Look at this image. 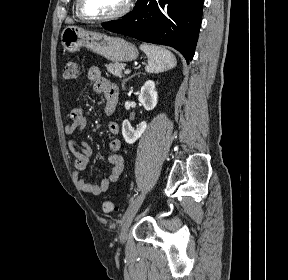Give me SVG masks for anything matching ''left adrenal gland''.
<instances>
[{"mask_svg": "<svg viewBox=\"0 0 288 280\" xmlns=\"http://www.w3.org/2000/svg\"><path fill=\"white\" fill-rule=\"evenodd\" d=\"M140 73H135L134 75L128 77L127 79H124L122 82V88L125 89V82H127L128 80L132 79L133 77H135L136 75H139Z\"/></svg>", "mask_w": 288, "mask_h": 280, "instance_id": "1", "label": "left adrenal gland"}]
</instances>
